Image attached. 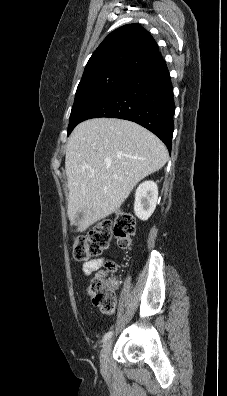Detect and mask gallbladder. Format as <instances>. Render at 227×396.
<instances>
[{
	"label": "gallbladder",
	"instance_id": "bac80fb5",
	"mask_svg": "<svg viewBox=\"0 0 227 396\" xmlns=\"http://www.w3.org/2000/svg\"><path fill=\"white\" fill-rule=\"evenodd\" d=\"M83 218V211H79L74 219V225H78L79 221Z\"/></svg>",
	"mask_w": 227,
	"mask_h": 396
}]
</instances>
